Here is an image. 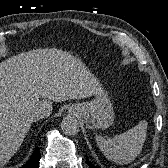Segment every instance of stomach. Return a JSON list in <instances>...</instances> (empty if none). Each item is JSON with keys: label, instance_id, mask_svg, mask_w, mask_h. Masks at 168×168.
<instances>
[{"label": "stomach", "instance_id": "obj_1", "mask_svg": "<svg viewBox=\"0 0 168 168\" xmlns=\"http://www.w3.org/2000/svg\"><path fill=\"white\" fill-rule=\"evenodd\" d=\"M69 111L82 117L87 127L91 129L108 128L114 121L113 107L107 92L104 91L90 102L72 105Z\"/></svg>", "mask_w": 168, "mask_h": 168}]
</instances>
